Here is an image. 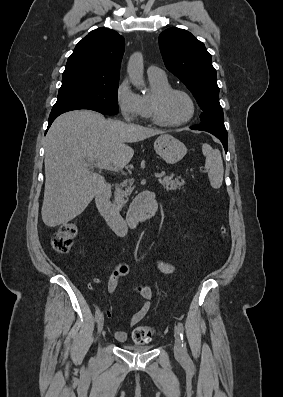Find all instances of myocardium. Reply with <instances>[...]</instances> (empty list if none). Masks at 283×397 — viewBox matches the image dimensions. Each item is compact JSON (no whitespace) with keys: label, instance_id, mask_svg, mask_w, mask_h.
<instances>
[{"label":"myocardium","instance_id":"obj_1","mask_svg":"<svg viewBox=\"0 0 283 397\" xmlns=\"http://www.w3.org/2000/svg\"><path fill=\"white\" fill-rule=\"evenodd\" d=\"M179 93L184 95L190 102L191 104V113L190 115L185 118L184 120L177 121V122H168L163 119L162 117V107L166 99L171 96L172 94ZM196 113V103L193 99V97L188 93L187 91L179 88H174L170 87L167 88L158 94H156L152 101H151V118L153 122L161 127H166V128H175V127H180L188 122H190L193 117L195 116Z\"/></svg>","mask_w":283,"mask_h":397}]
</instances>
